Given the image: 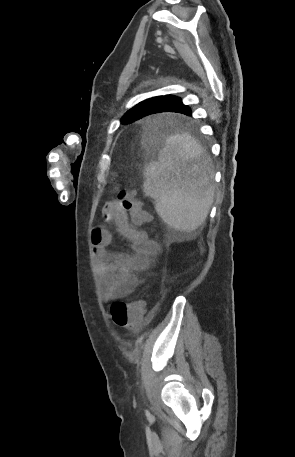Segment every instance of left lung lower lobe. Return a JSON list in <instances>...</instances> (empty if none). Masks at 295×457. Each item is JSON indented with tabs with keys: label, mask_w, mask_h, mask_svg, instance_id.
I'll use <instances>...</instances> for the list:
<instances>
[{
	"label": "left lung lower lobe",
	"mask_w": 295,
	"mask_h": 457,
	"mask_svg": "<svg viewBox=\"0 0 295 457\" xmlns=\"http://www.w3.org/2000/svg\"><path fill=\"white\" fill-rule=\"evenodd\" d=\"M160 112H177L184 115H191V109L184 105L180 98L171 96L166 100L162 101L160 104L156 105L150 114L160 113Z\"/></svg>",
	"instance_id": "obj_1"
}]
</instances>
